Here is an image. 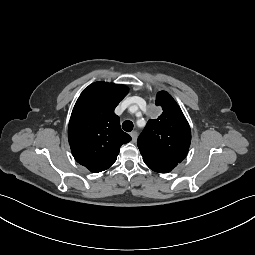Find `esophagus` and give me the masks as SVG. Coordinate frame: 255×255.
<instances>
[{
  "instance_id": "34e87169",
  "label": "esophagus",
  "mask_w": 255,
  "mask_h": 255,
  "mask_svg": "<svg viewBox=\"0 0 255 255\" xmlns=\"http://www.w3.org/2000/svg\"><path fill=\"white\" fill-rule=\"evenodd\" d=\"M130 135H131V137H132V141H133V142H136V141H137V137H138L137 132H136V131H132V132L130 133Z\"/></svg>"
}]
</instances>
